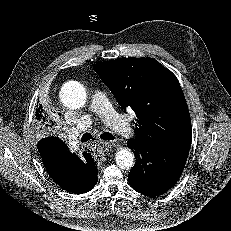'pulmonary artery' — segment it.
I'll use <instances>...</instances> for the list:
<instances>
[{
	"instance_id": "e3ab8cb5",
	"label": "pulmonary artery",
	"mask_w": 231,
	"mask_h": 231,
	"mask_svg": "<svg viewBox=\"0 0 231 231\" xmlns=\"http://www.w3.org/2000/svg\"><path fill=\"white\" fill-rule=\"evenodd\" d=\"M90 111L91 113L99 115L106 125L122 136L130 137L133 134V128L130 122L114 109L103 90L96 89L93 92ZM91 124L92 115L90 113L83 115L80 118L77 126L71 130V135L77 131H82L89 128Z\"/></svg>"
}]
</instances>
